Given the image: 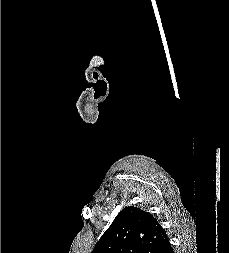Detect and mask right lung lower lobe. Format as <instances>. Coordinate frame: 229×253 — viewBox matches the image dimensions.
I'll list each match as a JSON object with an SVG mask.
<instances>
[{
	"label": "right lung lower lobe",
	"mask_w": 229,
	"mask_h": 253,
	"mask_svg": "<svg viewBox=\"0 0 229 253\" xmlns=\"http://www.w3.org/2000/svg\"><path fill=\"white\" fill-rule=\"evenodd\" d=\"M162 253H174V252H173V248L171 247V244H170L167 248H165V249L162 251Z\"/></svg>",
	"instance_id": "right-lung-lower-lobe-1"
}]
</instances>
